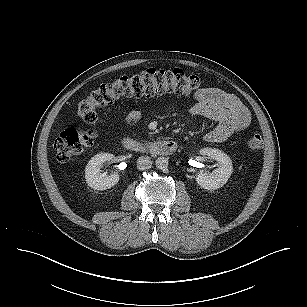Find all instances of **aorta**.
Returning <instances> with one entry per match:
<instances>
[{
    "label": "aorta",
    "mask_w": 307,
    "mask_h": 307,
    "mask_svg": "<svg viewBox=\"0 0 307 307\" xmlns=\"http://www.w3.org/2000/svg\"><path fill=\"white\" fill-rule=\"evenodd\" d=\"M155 164L158 169L163 170L168 167L169 162L168 159L165 157H158L155 161Z\"/></svg>",
    "instance_id": "aorta-1"
}]
</instances>
